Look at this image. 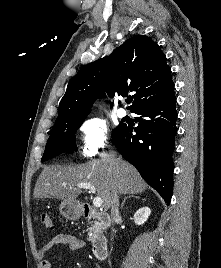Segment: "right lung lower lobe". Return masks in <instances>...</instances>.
I'll list each match as a JSON object with an SVG mask.
<instances>
[{
	"label": "right lung lower lobe",
	"mask_w": 221,
	"mask_h": 268,
	"mask_svg": "<svg viewBox=\"0 0 221 268\" xmlns=\"http://www.w3.org/2000/svg\"><path fill=\"white\" fill-rule=\"evenodd\" d=\"M174 93L138 107L133 127L121 124L112 134V143L121 155L139 171L142 178L170 204L173 190L172 154L177 133Z\"/></svg>",
	"instance_id": "obj_1"
}]
</instances>
